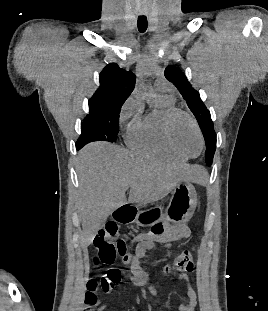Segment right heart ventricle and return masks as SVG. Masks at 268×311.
I'll use <instances>...</instances> for the list:
<instances>
[{"label": "right heart ventricle", "instance_id": "1", "mask_svg": "<svg viewBox=\"0 0 268 311\" xmlns=\"http://www.w3.org/2000/svg\"><path fill=\"white\" fill-rule=\"evenodd\" d=\"M173 108H176L175 99L159 94L158 105L147 113L141 111L129 125L126 135L128 145L142 153L186 161L187 158L171 148L164 134L165 115Z\"/></svg>", "mask_w": 268, "mask_h": 311}]
</instances>
